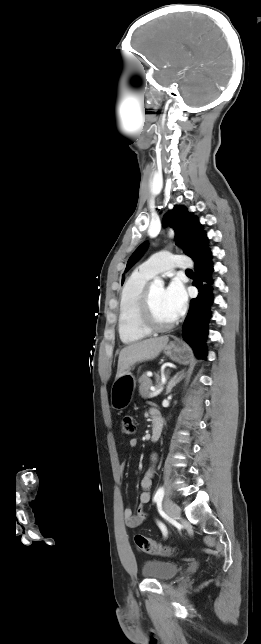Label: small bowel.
<instances>
[{"label": "small bowel", "instance_id": "c3829d8e", "mask_svg": "<svg viewBox=\"0 0 261 644\" xmlns=\"http://www.w3.org/2000/svg\"><path fill=\"white\" fill-rule=\"evenodd\" d=\"M151 415L154 413H159L157 409H151L150 411ZM138 444L137 439H131L130 440V446L131 447H136ZM152 460V465L149 467V469L145 472L144 476L142 477L140 481V486L142 489V492L139 496V507L136 512L133 511L131 508H126L124 510V518L126 521V524L130 528H138L143 525V523L146 520V515L143 511V508L145 505H147L150 501V493L149 489L152 484V479L154 476V463L157 460V455L153 454L151 457ZM125 464L122 463L120 466L121 473H123Z\"/></svg>", "mask_w": 261, "mask_h": 644}]
</instances>
